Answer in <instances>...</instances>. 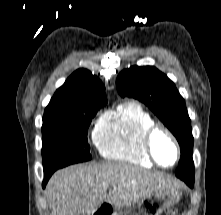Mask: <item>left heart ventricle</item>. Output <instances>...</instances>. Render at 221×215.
<instances>
[{
  "label": "left heart ventricle",
  "mask_w": 221,
  "mask_h": 215,
  "mask_svg": "<svg viewBox=\"0 0 221 215\" xmlns=\"http://www.w3.org/2000/svg\"><path fill=\"white\" fill-rule=\"evenodd\" d=\"M153 149L155 152V155L157 159L164 165L171 164L175 159V150L171 143V141L168 139L167 136H165L162 133H158L153 141Z\"/></svg>",
  "instance_id": "obj_1"
}]
</instances>
